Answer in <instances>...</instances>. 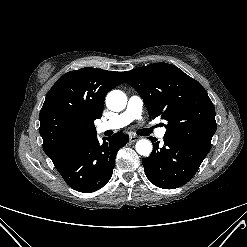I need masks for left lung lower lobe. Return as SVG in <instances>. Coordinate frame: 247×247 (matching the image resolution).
<instances>
[{"label":"left lung lower lobe","mask_w":247,"mask_h":247,"mask_svg":"<svg viewBox=\"0 0 247 247\" xmlns=\"http://www.w3.org/2000/svg\"><path fill=\"white\" fill-rule=\"evenodd\" d=\"M154 150L142 159L147 178L155 186L175 189L183 186L197 172L208 152L193 145L164 138V146L151 137Z\"/></svg>","instance_id":"0a47b994"}]
</instances>
